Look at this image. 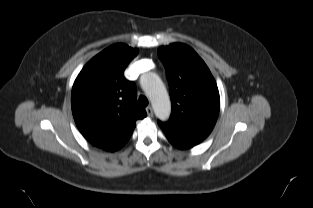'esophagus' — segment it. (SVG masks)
<instances>
[{"label":"esophagus","mask_w":313,"mask_h":208,"mask_svg":"<svg viewBox=\"0 0 313 208\" xmlns=\"http://www.w3.org/2000/svg\"><path fill=\"white\" fill-rule=\"evenodd\" d=\"M146 112H147L148 117H153L152 107H150V106L146 107Z\"/></svg>","instance_id":"1"}]
</instances>
